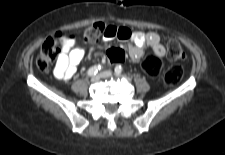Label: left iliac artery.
<instances>
[{
	"label": "left iliac artery",
	"instance_id": "left-iliac-artery-1",
	"mask_svg": "<svg viewBox=\"0 0 225 155\" xmlns=\"http://www.w3.org/2000/svg\"><path fill=\"white\" fill-rule=\"evenodd\" d=\"M114 71H115L116 75H121V73L123 72V68L121 65H118L115 67Z\"/></svg>",
	"mask_w": 225,
	"mask_h": 155
}]
</instances>
